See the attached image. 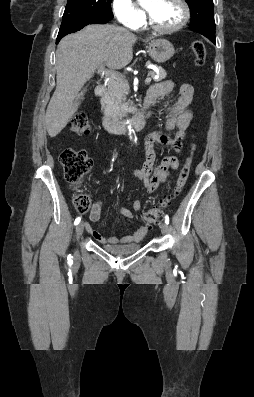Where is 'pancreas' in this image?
<instances>
[{"mask_svg": "<svg viewBox=\"0 0 254 397\" xmlns=\"http://www.w3.org/2000/svg\"><path fill=\"white\" fill-rule=\"evenodd\" d=\"M158 69V77L155 78V72L150 71L148 73L154 81L159 82L166 78L167 72L162 67H157ZM129 85L127 80L124 77L116 81H112L109 84L108 91L106 95L102 98L101 104L105 109V113L116 119L122 114V100L125 98V94L128 93Z\"/></svg>", "mask_w": 254, "mask_h": 397, "instance_id": "1", "label": "pancreas"}]
</instances>
